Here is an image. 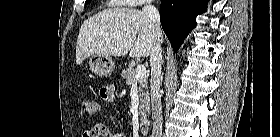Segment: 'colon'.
I'll list each match as a JSON object with an SVG mask.
<instances>
[{
  "label": "colon",
  "mask_w": 280,
  "mask_h": 137,
  "mask_svg": "<svg viewBox=\"0 0 280 137\" xmlns=\"http://www.w3.org/2000/svg\"><path fill=\"white\" fill-rule=\"evenodd\" d=\"M102 98L105 101L111 102L115 99V95L113 93H108L105 90L102 93ZM83 110L85 113L91 117H94L98 114L99 112V105L96 100L92 99H84L83 100ZM89 137H100V134L98 133H91Z\"/></svg>",
  "instance_id": "colon-1"
}]
</instances>
